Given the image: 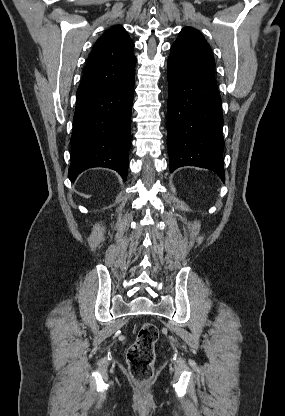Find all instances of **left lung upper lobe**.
<instances>
[{
    "label": "left lung upper lobe",
    "mask_w": 285,
    "mask_h": 416,
    "mask_svg": "<svg viewBox=\"0 0 285 416\" xmlns=\"http://www.w3.org/2000/svg\"><path fill=\"white\" fill-rule=\"evenodd\" d=\"M168 59L178 62L199 76L215 81V61L210 46L196 29H182L171 47Z\"/></svg>",
    "instance_id": "1"
}]
</instances>
